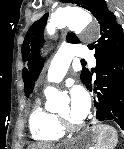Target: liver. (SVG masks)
I'll return each instance as SVG.
<instances>
[{
    "label": "liver",
    "mask_w": 124,
    "mask_h": 149,
    "mask_svg": "<svg viewBox=\"0 0 124 149\" xmlns=\"http://www.w3.org/2000/svg\"><path fill=\"white\" fill-rule=\"evenodd\" d=\"M28 149H58V148H55L54 146L46 143H37L28 146Z\"/></svg>",
    "instance_id": "obj_1"
}]
</instances>
